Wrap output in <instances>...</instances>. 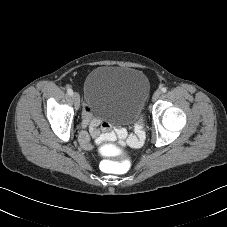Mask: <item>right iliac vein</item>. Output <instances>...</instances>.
Returning a JSON list of instances; mask_svg holds the SVG:
<instances>
[{"label":"right iliac vein","mask_w":227,"mask_h":227,"mask_svg":"<svg viewBox=\"0 0 227 227\" xmlns=\"http://www.w3.org/2000/svg\"><path fill=\"white\" fill-rule=\"evenodd\" d=\"M72 99H73V102H74V105L76 107V109L79 108L80 106V96L77 92H74L73 95H72Z\"/></svg>","instance_id":"63e3f726"}]
</instances>
